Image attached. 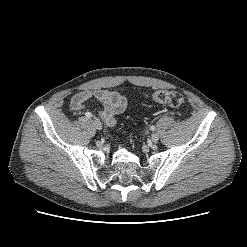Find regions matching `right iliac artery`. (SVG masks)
<instances>
[{
  "label": "right iliac artery",
  "mask_w": 247,
  "mask_h": 247,
  "mask_svg": "<svg viewBox=\"0 0 247 247\" xmlns=\"http://www.w3.org/2000/svg\"><path fill=\"white\" fill-rule=\"evenodd\" d=\"M85 116H86L87 118L92 117L91 113H89V112H86V113H85Z\"/></svg>",
  "instance_id": "82829eb1"
}]
</instances>
